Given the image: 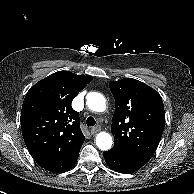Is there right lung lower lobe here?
Returning <instances> with one entry per match:
<instances>
[{"mask_svg": "<svg viewBox=\"0 0 194 194\" xmlns=\"http://www.w3.org/2000/svg\"><path fill=\"white\" fill-rule=\"evenodd\" d=\"M74 164H75V163H74ZM74 164H73L69 169H71V168L74 166ZM69 169H68V170H69Z\"/></svg>", "mask_w": 194, "mask_h": 194, "instance_id": "98d812e1", "label": "right lung lower lobe"}]
</instances>
